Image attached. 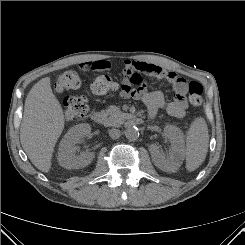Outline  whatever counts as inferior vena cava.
<instances>
[{
    "mask_svg": "<svg viewBox=\"0 0 245 245\" xmlns=\"http://www.w3.org/2000/svg\"><path fill=\"white\" fill-rule=\"evenodd\" d=\"M109 136L112 138V139H118L120 137V130L118 129H110L109 130Z\"/></svg>",
    "mask_w": 245,
    "mask_h": 245,
    "instance_id": "602c4592",
    "label": "inferior vena cava"
}]
</instances>
